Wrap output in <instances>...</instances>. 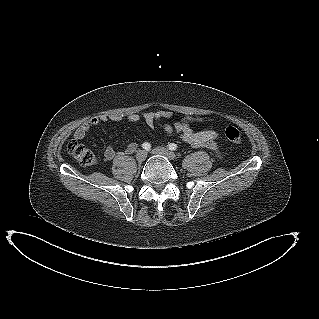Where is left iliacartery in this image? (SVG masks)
I'll return each instance as SVG.
<instances>
[{
  "instance_id": "obj_1",
  "label": "left iliac artery",
  "mask_w": 319,
  "mask_h": 319,
  "mask_svg": "<svg viewBox=\"0 0 319 319\" xmlns=\"http://www.w3.org/2000/svg\"><path fill=\"white\" fill-rule=\"evenodd\" d=\"M170 150H176L178 146L175 143H171L168 145Z\"/></svg>"
}]
</instances>
